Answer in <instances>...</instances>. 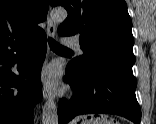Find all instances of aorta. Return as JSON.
Returning a JSON list of instances; mask_svg holds the SVG:
<instances>
[{
	"instance_id": "aorta-1",
	"label": "aorta",
	"mask_w": 156,
	"mask_h": 124,
	"mask_svg": "<svg viewBox=\"0 0 156 124\" xmlns=\"http://www.w3.org/2000/svg\"><path fill=\"white\" fill-rule=\"evenodd\" d=\"M64 8H55L50 12V18L55 23H61L67 18ZM42 124H58L57 106L52 99H48L42 108Z\"/></svg>"
}]
</instances>
